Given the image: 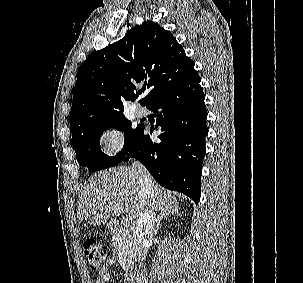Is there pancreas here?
Masks as SVG:
<instances>
[{"label":"pancreas","mask_w":303,"mask_h":283,"mask_svg":"<svg viewBox=\"0 0 303 283\" xmlns=\"http://www.w3.org/2000/svg\"><path fill=\"white\" fill-rule=\"evenodd\" d=\"M113 247L117 252L121 266L126 270L132 268L137 252L132 236L126 230H122V232L114 236Z\"/></svg>","instance_id":"pancreas-1"}]
</instances>
